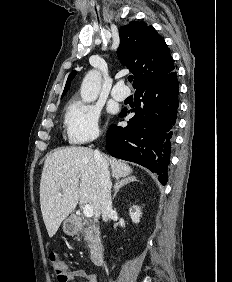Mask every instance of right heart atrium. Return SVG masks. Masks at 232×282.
I'll return each mask as SVG.
<instances>
[{
	"instance_id": "1",
	"label": "right heart atrium",
	"mask_w": 232,
	"mask_h": 282,
	"mask_svg": "<svg viewBox=\"0 0 232 282\" xmlns=\"http://www.w3.org/2000/svg\"><path fill=\"white\" fill-rule=\"evenodd\" d=\"M99 110L80 100L68 106L65 115V128L68 140L74 145H82L99 135Z\"/></svg>"
}]
</instances>
